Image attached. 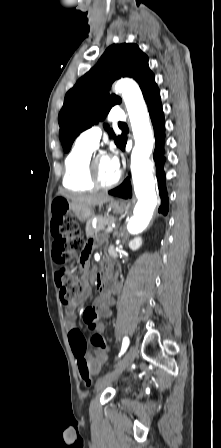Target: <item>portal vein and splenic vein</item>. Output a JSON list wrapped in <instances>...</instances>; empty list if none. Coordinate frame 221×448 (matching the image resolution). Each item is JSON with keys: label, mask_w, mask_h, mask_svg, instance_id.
I'll use <instances>...</instances> for the list:
<instances>
[{"label": "portal vein and splenic vein", "mask_w": 221, "mask_h": 448, "mask_svg": "<svg viewBox=\"0 0 221 448\" xmlns=\"http://www.w3.org/2000/svg\"><path fill=\"white\" fill-rule=\"evenodd\" d=\"M114 227H115V224H112V225L108 226V227L105 229V231H106V232H111V231L113 230Z\"/></svg>", "instance_id": "portal-vein-and-splenic-vein-1"}]
</instances>
